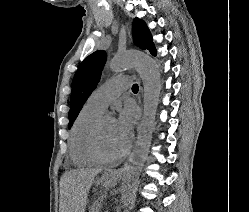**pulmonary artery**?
I'll use <instances>...</instances> for the list:
<instances>
[{
    "label": "pulmonary artery",
    "mask_w": 249,
    "mask_h": 212,
    "mask_svg": "<svg viewBox=\"0 0 249 212\" xmlns=\"http://www.w3.org/2000/svg\"><path fill=\"white\" fill-rule=\"evenodd\" d=\"M129 88V77L119 75L107 80L98 87L88 101L96 108L104 111L109 104Z\"/></svg>",
    "instance_id": "1"
}]
</instances>
